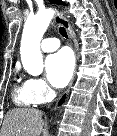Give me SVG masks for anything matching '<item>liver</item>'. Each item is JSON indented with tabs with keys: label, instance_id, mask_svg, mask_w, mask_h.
Here are the masks:
<instances>
[{
	"label": "liver",
	"instance_id": "1",
	"mask_svg": "<svg viewBox=\"0 0 117 136\" xmlns=\"http://www.w3.org/2000/svg\"><path fill=\"white\" fill-rule=\"evenodd\" d=\"M42 129L41 111L30 108H16L6 114L0 136H39Z\"/></svg>",
	"mask_w": 117,
	"mask_h": 136
}]
</instances>
